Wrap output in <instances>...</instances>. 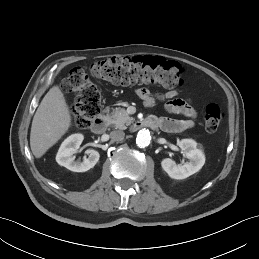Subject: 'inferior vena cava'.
<instances>
[{
    "label": "inferior vena cava",
    "mask_w": 259,
    "mask_h": 259,
    "mask_svg": "<svg viewBox=\"0 0 259 259\" xmlns=\"http://www.w3.org/2000/svg\"><path fill=\"white\" fill-rule=\"evenodd\" d=\"M110 135L114 141H119L124 138L125 133L122 130H114L110 133Z\"/></svg>",
    "instance_id": "1"
}]
</instances>
